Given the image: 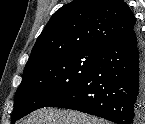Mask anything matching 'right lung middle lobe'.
I'll return each mask as SVG.
<instances>
[{"instance_id":"obj_1","label":"right lung middle lobe","mask_w":145,"mask_h":124,"mask_svg":"<svg viewBox=\"0 0 145 124\" xmlns=\"http://www.w3.org/2000/svg\"><path fill=\"white\" fill-rule=\"evenodd\" d=\"M99 54L92 51L68 54L23 74L15 95L12 124L27 114L45 107L79 83Z\"/></svg>"}]
</instances>
